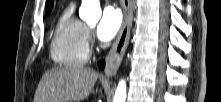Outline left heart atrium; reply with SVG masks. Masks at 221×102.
<instances>
[{
	"label": "left heart atrium",
	"instance_id": "obj_1",
	"mask_svg": "<svg viewBox=\"0 0 221 102\" xmlns=\"http://www.w3.org/2000/svg\"><path fill=\"white\" fill-rule=\"evenodd\" d=\"M122 23V13L116 6L112 5L105 7L97 26L98 38L101 41L112 39L121 28Z\"/></svg>",
	"mask_w": 221,
	"mask_h": 102
}]
</instances>
